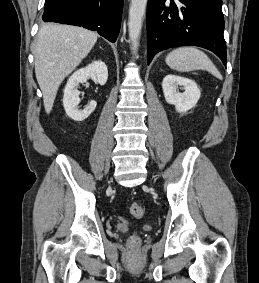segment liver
<instances>
[{"instance_id":"obj_1","label":"liver","mask_w":259,"mask_h":283,"mask_svg":"<svg viewBox=\"0 0 259 283\" xmlns=\"http://www.w3.org/2000/svg\"><path fill=\"white\" fill-rule=\"evenodd\" d=\"M98 35L72 25L47 23L38 32L35 45V74L47 114L52 110L58 88L89 54Z\"/></svg>"}]
</instances>
